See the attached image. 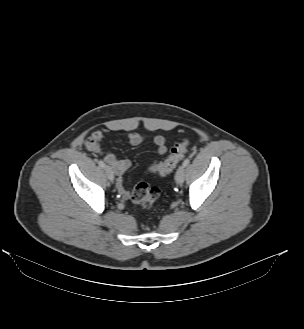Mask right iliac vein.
<instances>
[{
	"label": "right iliac vein",
	"instance_id": "63e3f726",
	"mask_svg": "<svg viewBox=\"0 0 304 329\" xmlns=\"http://www.w3.org/2000/svg\"><path fill=\"white\" fill-rule=\"evenodd\" d=\"M105 172H106L107 178L110 181H113L114 180V172H113V170L109 166H106L105 167Z\"/></svg>",
	"mask_w": 304,
	"mask_h": 329
}]
</instances>
